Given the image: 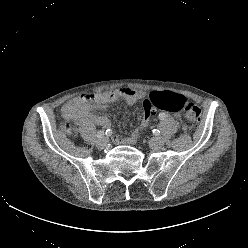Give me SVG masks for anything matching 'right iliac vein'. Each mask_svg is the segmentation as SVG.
I'll use <instances>...</instances> for the list:
<instances>
[{
	"label": "right iliac vein",
	"instance_id": "right-iliac-vein-1",
	"mask_svg": "<svg viewBox=\"0 0 248 248\" xmlns=\"http://www.w3.org/2000/svg\"><path fill=\"white\" fill-rule=\"evenodd\" d=\"M107 143H108V139L106 137H102V138L97 140L96 146L99 149H104L107 146Z\"/></svg>",
	"mask_w": 248,
	"mask_h": 248
}]
</instances>
